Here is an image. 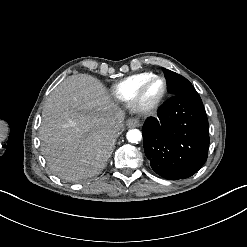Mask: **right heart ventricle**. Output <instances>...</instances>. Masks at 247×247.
Returning <instances> with one entry per match:
<instances>
[{
	"instance_id": "obj_1",
	"label": "right heart ventricle",
	"mask_w": 247,
	"mask_h": 247,
	"mask_svg": "<svg viewBox=\"0 0 247 247\" xmlns=\"http://www.w3.org/2000/svg\"><path fill=\"white\" fill-rule=\"evenodd\" d=\"M155 75L152 72H145L129 76L117 82L111 89L118 102L129 103L137 86L146 78Z\"/></svg>"
}]
</instances>
